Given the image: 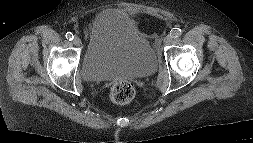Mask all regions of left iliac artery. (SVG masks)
Here are the masks:
<instances>
[{"label":"left iliac artery","mask_w":253,"mask_h":143,"mask_svg":"<svg viewBox=\"0 0 253 143\" xmlns=\"http://www.w3.org/2000/svg\"><path fill=\"white\" fill-rule=\"evenodd\" d=\"M182 31L180 28H173L170 31V35L172 36V38H178L181 35Z\"/></svg>","instance_id":"44dca946"}]
</instances>
